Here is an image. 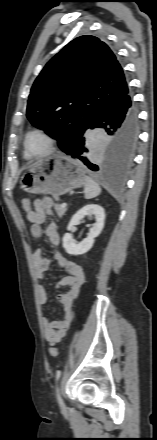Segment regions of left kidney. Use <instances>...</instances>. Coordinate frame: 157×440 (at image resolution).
<instances>
[{
	"label": "left kidney",
	"instance_id": "obj_1",
	"mask_svg": "<svg viewBox=\"0 0 157 440\" xmlns=\"http://www.w3.org/2000/svg\"><path fill=\"white\" fill-rule=\"evenodd\" d=\"M86 216L94 217L95 219V223L90 228L86 239L77 244L70 233H65L63 236V247L68 254L82 255L88 252L94 244V239L99 236L104 227L105 213L103 207L90 204L84 206L73 215L67 226V230L70 231L74 226L79 225L81 220Z\"/></svg>",
	"mask_w": 157,
	"mask_h": 440
}]
</instances>
